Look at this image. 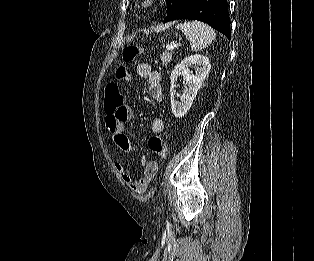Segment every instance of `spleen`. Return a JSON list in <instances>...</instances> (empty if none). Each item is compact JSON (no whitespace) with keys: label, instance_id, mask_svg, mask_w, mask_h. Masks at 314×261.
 <instances>
[{"label":"spleen","instance_id":"3e777b00","mask_svg":"<svg viewBox=\"0 0 314 261\" xmlns=\"http://www.w3.org/2000/svg\"><path fill=\"white\" fill-rule=\"evenodd\" d=\"M176 28L181 30L190 41L193 51L206 48L216 37V33L212 27L199 21L180 23L177 24Z\"/></svg>","mask_w":314,"mask_h":261}]
</instances>
